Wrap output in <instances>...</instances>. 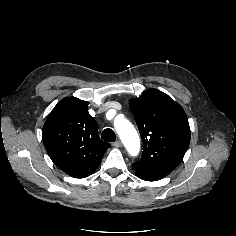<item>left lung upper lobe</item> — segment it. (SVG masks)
Listing matches in <instances>:
<instances>
[{"label":"left lung upper lobe","mask_w":236,"mask_h":236,"mask_svg":"<svg viewBox=\"0 0 236 236\" xmlns=\"http://www.w3.org/2000/svg\"><path fill=\"white\" fill-rule=\"evenodd\" d=\"M143 140L142 157L132 166L164 178L182 161L190 143L183 108L170 96L149 89L129 103Z\"/></svg>","instance_id":"5c2ea615"}]
</instances>
